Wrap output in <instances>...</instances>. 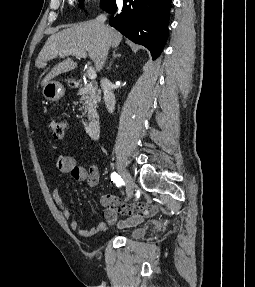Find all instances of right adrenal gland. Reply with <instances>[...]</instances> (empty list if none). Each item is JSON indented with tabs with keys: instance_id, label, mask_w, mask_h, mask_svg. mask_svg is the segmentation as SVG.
<instances>
[{
	"instance_id": "2a0ac1e0",
	"label": "right adrenal gland",
	"mask_w": 255,
	"mask_h": 287,
	"mask_svg": "<svg viewBox=\"0 0 255 287\" xmlns=\"http://www.w3.org/2000/svg\"><path fill=\"white\" fill-rule=\"evenodd\" d=\"M121 54H116V50H114L113 52V60H115V58H120ZM112 64V62H111Z\"/></svg>"
}]
</instances>
